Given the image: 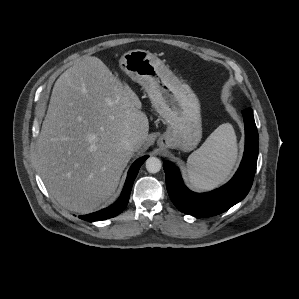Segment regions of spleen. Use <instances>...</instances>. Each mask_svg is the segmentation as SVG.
Masks as SVG:
<instances>
[{"mask_svg": "<svg viewBox=\"0 0 299 299\" xmlns=\"http://www.w3.org/2000/svg\"><path fill=\"white\" fill-rule=\"evenodd\" d=\"M236 159L234 129L229 123L222 124L189 156L187 172L191 185L198 189H208L224 182Z\"/></svg>", "mask_w": 299, "mask_h": 299, "instance_id": "1", "label": "spleen"}]
</instances>
